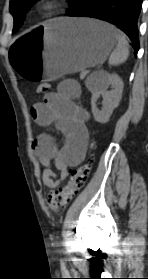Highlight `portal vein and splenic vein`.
<instances>
[{
	"instance_id": "18ae733b",
	"label": "portal vein and splenic vein",
	"mask_w": 148,
	"mask_h": 279,
	"mask_svg": "<svg viewBox=\"0 0 148 279\" xmlns=\"http://www.w3.org/2000/svg\"><path fill=\"white\" fill-rule=\"evenodd\" d=\"M88 73H89V71H84L83 72L84 75H87Z\"/></svg>"
}]
</instances>
